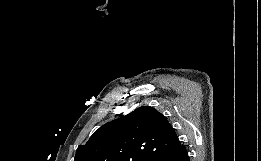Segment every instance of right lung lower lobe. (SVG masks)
Here are the masks:
<instances>
[{
	"label": "right lung lower lobe",
	"mask_w": 261,
	"mask_h": 161,
	"mask_svg": "<svg viewBox=\"0 0 261 161\" xmlns=\"http://www.w3.org/2000/svg\"><path fill=\"white\" fill-rule=\"evenodd\" d=\"M151 161H189V156L185 146L183 145L178 150L157 156Z\"/></svg>",
	"instance_id": "right-lung-lower-lobe-1"
}]
</instances>
